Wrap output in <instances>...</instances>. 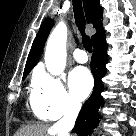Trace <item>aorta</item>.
I'll list each match as a JSON object with an SVG mask.
<instances>
[{
	"label": "aorta",
	"instance_id": "762f6f07",
	"mask_svg": "<svg viewBox=\"0 0 136 136\" xmlns=\"http://www.w3.org/2000/svg\"><path fill=\"white\" fill-rule=\"evenodd\" d=\"M67 27L64 22H59L50 34L45 51V64L51 75H61L66 67V41Z\"/></svg>",
	"mask_w": 136,
	"mask_h": 136
}]
</instances>
